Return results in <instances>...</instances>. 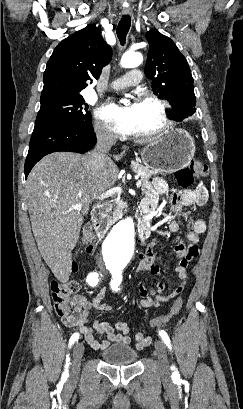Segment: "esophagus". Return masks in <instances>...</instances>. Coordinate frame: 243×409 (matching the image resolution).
<instances>
[{"mask_svg": "<svg viewBox=\"0 0 243 409\" xmlns=\"http://www.w3.org/2000/svg\"><path fill=\"white\" fill-rule=\"evenodd\" d=\"M131 11L129 9H123L122 10V15L126 16V15H130Z\"/></svg>", "mask_w": 243, "mask_h": 409, "instance_id": "34e87169", "label": "esophagus"}]
</instances>
